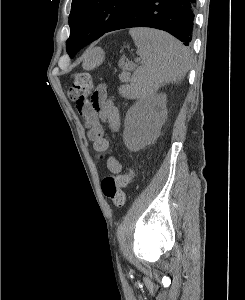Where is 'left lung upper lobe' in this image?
I'll list each match as a JSON object with an SVG mask.
<instances>
[{
	"label": "left lung upper lobe",
	"mask_w": 245,
	"mask_h": 300,
	"mask_svg": "<svg viewBox=\"0 0 245 300\" xmlns=\"http://www.w3.org/2000/svg\"><path fill=\"white\" fill-rule=\"evenodd\" d=\"M135 0H72L69 16L70 37L67 52L73 57L76 48L92 37L102 36Z\"/></svg>",
	"instance_id": "1"
}]
</instances>
